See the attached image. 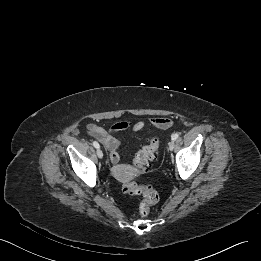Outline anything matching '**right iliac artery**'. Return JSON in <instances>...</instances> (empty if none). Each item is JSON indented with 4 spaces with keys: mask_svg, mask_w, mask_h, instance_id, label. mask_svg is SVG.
<instances>
[{
    "mask_svg": "<svg viewBox=\"0 0 261 261\" xmlns=\"http://www.w3.org/2000/svg\"><path fill=\"white\" fill-rule=\"evenodd\" d=\"M93 146L95 147V148H97V149H99V144H98V142H96V141H93Z\"/></svg>",
    "mask_w": 261,
    "mask_h": 261,
    "instance_id": "82829eb1",
    "label": "right iliac artery"
}]
</instances>
